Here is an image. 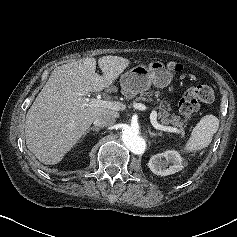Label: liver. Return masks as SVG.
<instances>
[{
    "label": "liver",
    "mask_w": 237,
    "mask_h": 237,
    "mask_svg": "<svg viewBox=\"0 0 237 237\" xmlns=\"http://www.w3.org/2000/svg\"><path fill=\"white\" fill-rule=\"evenodd\" d=\"M130 60L103 56L96 71L95 58H83L57 67L27 112L28 149L46 165L59 163L101 115L118 117L115 110L89 105L86 95L114 83Z\"/></svg>",
    "instance_id": "1"
}]
</instances>
